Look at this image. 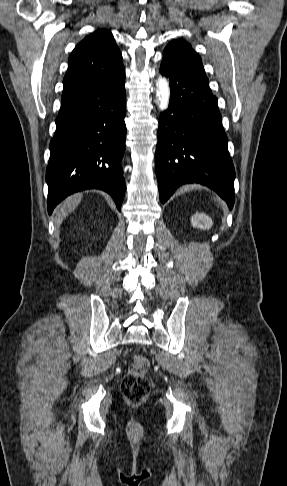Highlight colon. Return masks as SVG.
<instances>
[{
    "mask_svg": "<svg viewBox=\"0 0 287 486\" xmlns=\"http://www.w3.org/2000/svg\"><path fill=\"white\" fill-rule=\"evenodd\" d=\"M148 370V360L142 355H135L121 384L122 393L131 404H139L148 396L150 392Z\"/></svg>",
    "mask_w": 287,
    "mask_h": 486,
    "instance_id": "5ec220e1",
    "label": "colon"
}]
</instances>
